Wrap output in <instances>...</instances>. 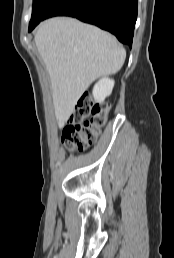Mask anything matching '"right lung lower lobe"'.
Wrapping results in <instances>:
<instances>
[{
  "label": "right lung lower lobe",
  "instance_id": "1",
  "mask_svg": "<svg viewBox=\"0 0 174 258\" xmlns=\"http://www.w3.org/2000/svg\"><path fill=\"white\" fill-rule=\"evenodd\" d=\"M53 16H70L94 24L132 46L137 19V0H59L47 12Z\"/></svg>",
  "mask_w": 174,
  "mask_h": 258
}]
</instances>
